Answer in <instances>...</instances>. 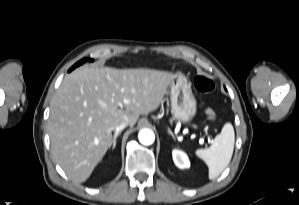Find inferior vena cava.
Masks as SVG:
<instances>
[{"mask_svg":"<svg viewBox=\"0 0 299 205\" xmlns=\"http://www.w3.org/2000/svg\"><path fill=\"white\" fill-rule=\"evenodd\" d=\"M128 123L127 122H122L119 125L115 127L116 132H121L123 129L127 127Z\"/></svg>","mask_w":299,"mask_h":205,"instance_id":"602c4592","label":"inferior vena cava"}]
</instances>
